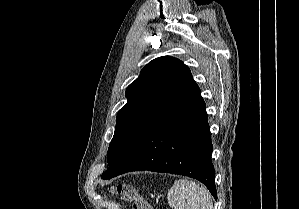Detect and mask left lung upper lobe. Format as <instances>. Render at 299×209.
Segmentation results:
<instances>
[{
  "instance_id": "obj_1",
  "label": "left lung upper lobe",
  "mask_w": 299,
  "mask_h": 209,
  "mask_svg": "<svg viewBox=\"0 0 299 209\" xmlns=\"http://www.w3.org/2000/svg\"><path fill=\"white\" fill-rule=\"evenodd\" d=\"M192 81L189 68L170 56L156 58L141 70L139 77L127 87L128 101L117 114L108 149L109 168L145 122Z\"/></svg>"
}]
</instances>
